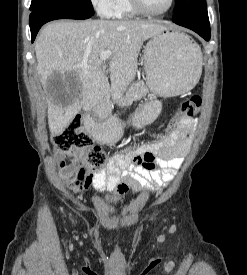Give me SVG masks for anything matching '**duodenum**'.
<instances>
[{
    "label": "duodenum",
    "mask_w": 247,
    "mask_h": 275,
    "mask_svg": "<svg viewBox=\"0 0 247 275\" xmlns=\"http://www.w3.org/2000/svg\"><path fill=\"white\" fill-rule=\"evenodd\" d=\"M111 100H112V97H111V94L108 93L104 96V98L102 99V101L100 102V104L98 105L97 107V111L98 112H108L110 111L111 109Z\"/></svg>",
    "instance_id": "obj_1"
}]
</instances>
